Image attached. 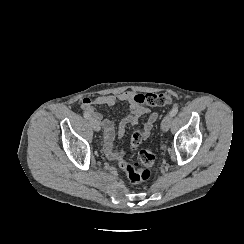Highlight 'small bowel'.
I'll return each mask as SVG.
<instances>
[{
  "label": "small bowel",
  "mask_w": 244,
  "mask_h": 244,
  "mask_svg": "<svg viewBox=\"0 0 244 244\" xmlns=\"http://www.w3.org/2000/svg\"><path fill=\"white\" fill-rule=\"evenodd\" d=\"M135 93L132 91H125L119 94L111 95H101L97 96L94 99L90 97H84L80 101V109L82 112H89L95 121L100 122L103 133H104V151L108 155L114 156V142H115V124L108 118L104 117L101 113L97 112L94 108L97 106H108L112 107L116 105L118 101L126 102L129 104L130 115L121 119L117 127V135L122 138L125 135L126 127L128 125H137L141 117L146 116V121L143 125L141 133L144 135V138L150 135L153 125L158 119L157 114L152 113L151 110L146 107H137L132 102V97Z\"/></svg>",
  "instance_id": "obj_1"
}]
</instances>
